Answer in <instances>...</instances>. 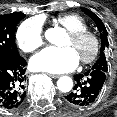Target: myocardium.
I'll return each instance as SVG.
<instances>
[{"label":"myocardium","instance_id":"obj_1","mask_svg":"<svg viewBox=\"0 0 117 117\" xmlns=\"http://www.w3.org/2000/svg\"><path fill=\"white\" fill-rule=\"evenodd\" d=\"M69 38L74 43H80L89 40L92 44L91 51L86 56L80 58L82 64H89L96 60L101 49V40L99 36L89 30L69 32Z\"/></svg>","mask_w":117,"mask_h":117}]
</instances>
